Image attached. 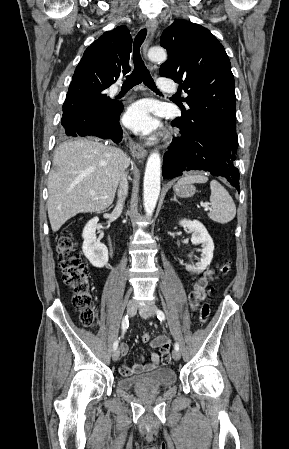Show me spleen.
Returning a JSON list of instances; mask_svg holds the SVG:
<instances>
[{
	"label": "spleen",
	"mask_w": 289,
	"mask_h": 449,
	"mask_svg": "<svg viewBox=\"0 0 289 449\" xmlns=\"http://www.w3.org/2000/svg\"><path fill=\"white\" fill-rule=\"evenodd\" d=\"M208 177L202 173L187 174L182 177L179 184L206 183ZM211 210L208 216L211 220L224 224L234 219L236 215L235 203L228 191L216 180L210 182Z\"/></svg>",
	"instance_id": "obj_1"
}]
</instances>
